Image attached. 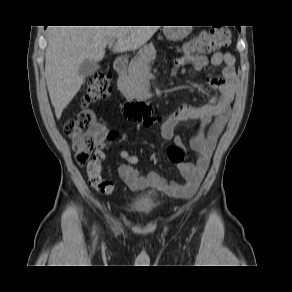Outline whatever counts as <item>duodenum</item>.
<instances>
[{"mask_svg":"<svg viewBox=\"0 0 292 292\" xmlns=\"http://www.w3.org/2000/svg\"><path fill=\"white\" fill-rule=\"evenodd\" d=\"M126 66L127 61L124 58H116L114 60L113 68L117 74H124ZM123 110L129 118L141 119L142 121H144V118H150L152 114L151 105L144 101H126L124 102Z\"/></svg>","mask_w":292,"mask_h":292,"instance_id":"obj_1","label":"duodenum"}]
</instances>
